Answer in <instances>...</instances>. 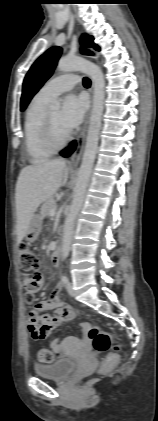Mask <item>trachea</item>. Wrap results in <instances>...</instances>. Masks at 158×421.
Wrapping results in <instances>:
<instances>
[{
	"mask_svg": "<svg viewBox=\"0 0 158 421\" xmlns=\"http://www.w3.org/2000/svg\"><path fill=\"white\" fill-rule=\"evenodd\" d=\"M90 84H91L90 79H88L87 77H84V79H83V85H84L85 87H89V86H90Z\"/></svg>",
	"mask_w": 158,
	"mask_h": 421,
	"instance_id": "trachea-1",
	"label": "trachea"
}]
</instances>
